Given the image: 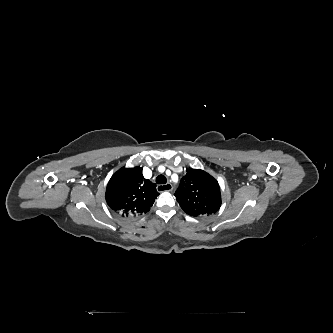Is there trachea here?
Returning a JSON list of instances; mask_svg holds the SVG:
<instances>
[{"instance_id": "trachea-1", "label": "trachea", "mask_w": 333, "mask_h": 333, "mask_svg": "<svg viewBox=\"0 0 333 333\" xmlns=\"http://www.w3.org/2000/svg\"><path fill=\"white\" fill-rule=\"evenodd\" d=\"M167 182V179L164 175H158L156 177V183L157 184H165Z\"/></svg>"}]
</instances>
